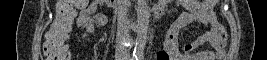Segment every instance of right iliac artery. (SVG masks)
<instances>
[{"label": "right iliac artery", "mask_w": 267, "mask_h": 60, "mask_svg": "<svg viewBox=\"0 0 267 60\" xmlns=\"http://www.w3.org/2000/svg\"><path fill=\"white\" fill-rule=\"evenodd\" d=\"M136 60L137 59V55L133 54V56L130 58V60Z\"/></svg>", "instance_id": "right-iliac-artery-1"}]
</instances>
